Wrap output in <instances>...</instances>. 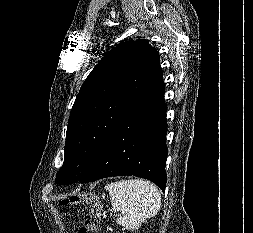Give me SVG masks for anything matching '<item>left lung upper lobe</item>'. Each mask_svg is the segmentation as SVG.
<instances>
[{
    "label": "left lung upper lobe",
    "instance_id": "obj_1",
    "mask_svg": "<svg viewBox=\"0 0 253 233\" xmlns=\"http://www.w3.org/2000/svg\"><path fill=\"white\" fill-rule=\"evenodd\" d=\"M162 75L159 54L148 40L123 42L107 52L81 86L70 112L56 183H75L90 171L117 124Z\"/></svg>",
    "mask_w": 253,
    "mask_h": 233
}]
</instances>
